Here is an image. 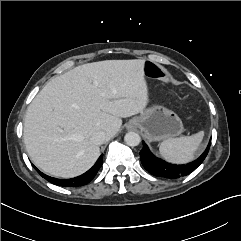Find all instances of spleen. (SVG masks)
<instances>
[{
  "label": "spleen",
  "instance_id": "3e777b00",
  "mask_svg": "<svg viewBox=\"0 0 241 241\" xmlns=\"http://www.w3.org/2000/svg\"><path fill=\"white\" fill-rule=\"evenodd\" d=\"M204 137V131L191 136H181L164 140L159 151L161 156L175 164H185L194 159V154Z\"/></svg>",
  "mask_w": 241,
  "mask_h": 241
}]
</instances>
